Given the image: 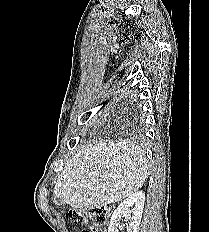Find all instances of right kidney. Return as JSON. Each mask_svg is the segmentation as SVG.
<instances>
[{"instance_id": "right-kidney-1", "label": "right kidney", "mask_w": 209, "mask_h": 232, "mask_svg": "<svg viewBox=\"0 0 209 232\" xmlns=\"http://www.w3.org/2000/svg\"><path fill=\"white\" fill-rule=\"evenodd\" d=\"M144 202L145 193L142 191H137L127 197L113 212L108 227V232H119L117 227L119 226V220L121 217L130 219L127 232H138L142 218ZM133 206V210H130L129 208Z\"/></svg>"}]
</instances>
